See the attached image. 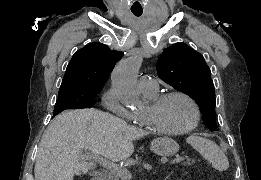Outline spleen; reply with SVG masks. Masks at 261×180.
I'll list each match as a JSON object with an SVG mask.
<instances>
[{"mask_svg": "<svg viewBox=\"0 0 261 180\" xmlns=\"http://www.w3.org/2000/svg\"><path fill=\"white\" fill-rule=\"evenodd\" d=\"M187 144L193 146L194 150H197L205 160L211 162L213 168L218 172H225L229 168V162L227 156L222 152L221 148L214 144L212 140L207 138H200V136H189L187 138Z\"/></svg>", "mask_w": 261, "mask_h": 180, "instance_id": "obj_1", "label": "spleen"}]
</instances>
